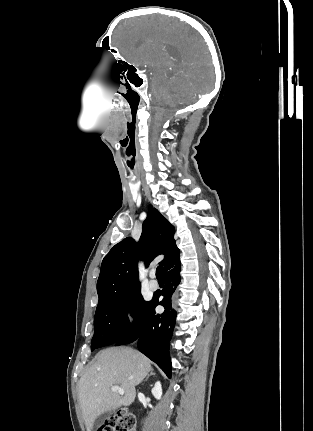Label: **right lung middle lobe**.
Wrapping results in <instances>:
<instances>
[{"label":"right lung middle lobe","mask_w":313,"mask_h":431,"mask_svg":"<svg viewBox=\"0 0 313 431\" xmlns=\"http://www.w3.org/2000/svg\"><path fill=\"white\" fill-rule=\"evenodd\" d=\"M147 304L140 289L99 302L94 316L91 350L114 344L125 336L138 324ZM128 312L134 317L133 323L128 321Z\"/></svg>","instance_id":"dd1d6c3e"}]
</instances>
